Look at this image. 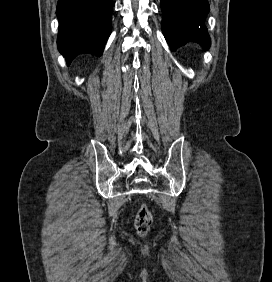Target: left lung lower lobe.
I'll return each instance as SVG.
<instances>
[{"label":"left lung lower lobe","instance_id":"left-lung-lower-lobe-1","mask_svg":"<svg viewBox=\"0 0 272 282\" xmlns=\"http://www.w3.org/2000/svg\"><path fill=\"white\" fill-rule=\"evenodd\" d=\"M162 31L172 50L188 41L198 42L205 50L210 38L204 25L210 7L208 0H161Z\"/></svg>","mask_w":272,"mask_h":282}]
</instances>
